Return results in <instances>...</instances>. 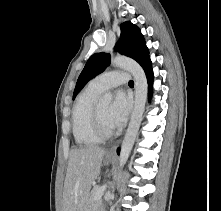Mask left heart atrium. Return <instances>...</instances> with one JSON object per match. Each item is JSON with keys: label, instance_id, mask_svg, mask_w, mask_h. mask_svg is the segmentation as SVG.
<instances>
[{"label": "left heart atrium", "instance_id": "left-heart-atrium-1", "mask_svg": "<svg viewBox=\"0 0 221 211\" xmlns=\"http://www.w3.org/2000/svg\"><path fill=\"white\" fill-rule=\"evenodd\" d=\"M131 101L123 91L116 92L109 108V120L114 129L121 128L129 115Z\"/></svg>", "mask_w": 221, "mask_h": 211}]
</instances>
